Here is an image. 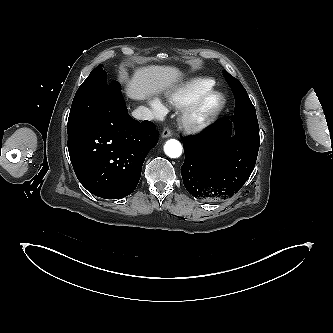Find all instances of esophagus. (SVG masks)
I'll return each mask as SVG.
<instances>
[{
  "mask_svg": "<svg viewBox=\"0 0 333 333\" xmlns=\"http://www.w3.org/2000/svg\"><path fill=\"white\" fill-rule=\"evenodd\" d=\"M172 136V131L169 128L163 130L161 137L162 138H169Z\"/></svg>",
  "mask_w": 333,
  "mask_h": 333,
  "instance_id": "34e87169",
  "label": "esophagus"
}]
</instances>
